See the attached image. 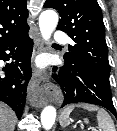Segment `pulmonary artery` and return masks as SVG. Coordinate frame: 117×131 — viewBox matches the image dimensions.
<instances>
[{
    "label": "pulmonary artery",
    "mask_w": 117,
    "mask_h": 131,
    "mask_svg": "<svg viewBox=\"0 0 117 131\" xmlns=\"http://www.w3.org/2000/svg\"><path fill=\"white\" fill-rule=\"evenodd\" d=\"M54 40L57 43H69L70 42L69 37L64 32H61V31H57L55 33Z\"/></svg>",
    "instance_id": "1"
}]
</instances>
